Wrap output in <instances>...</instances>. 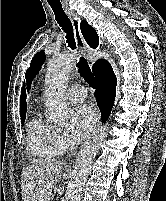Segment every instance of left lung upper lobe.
<instances>
[{
	"mask_svg": "<svg viewBox=\"0 0 166 201\" xmlns=\"http://www.w3.org/2000/svg\"><path fill=\"white\" fill-rule=\"evenodd\" d=\"M45 60V53L43 51L38 52L32 59L30 68L27 70L25 77L28 81V89L29 83L31 82L30 78L33 77L40 69L41 65Z\"/></svg>",
	"mask_w": 166,
	"mask_h": 201,
	"instance_id": "left-lung-upper-lobe-1",
	"label": "left lung upper lobe"
}]
</instances>
